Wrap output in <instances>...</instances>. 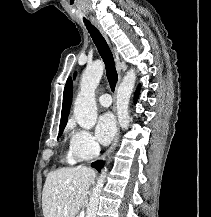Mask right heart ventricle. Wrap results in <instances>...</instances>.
Segmentation results:
<instances>
[{
  "mask_svg": "<svg viewBox=\"0 0 211 217\" xmlns=\"http://www.w3.org/2000/svg\"><path fill=\"white\" fill-rule=\"evenodd\" d=\"M66 159L70 163H74L76 160H78V158L71 151L67 153Z\"/></svg>",
  "mask_w": 211,
  "mask_h": 217,
  "instance_id": "right-heart-ventricle-1",
  "label": "right heart ventricle"
}]
</instances>
